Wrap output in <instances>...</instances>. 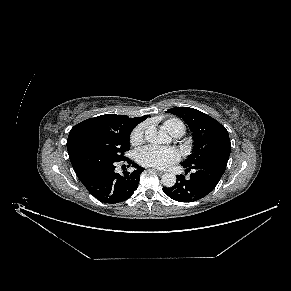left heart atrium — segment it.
<instances>
[{
	"mask_svg": "<svg viewBox=\"0 0 291 291\" xmlns=\"http://www.w3.org/2000/svg\"><path fill=\"white\" fill-rule=\"evenodd\" d=\"M178 159V153L173 148L146 146L137 153V161L149 167L166 168Z\"/></svg>",
	"mask_w": 291,
	"mask_h": 291,
	"instance_id": "39dd6f15",
	"label": "left heart atrium"
}]
</instances>
